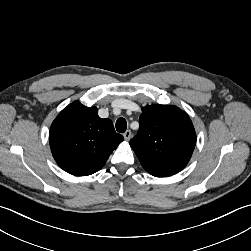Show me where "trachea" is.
Returning a JSON list of instances; mask_svg holds the SVG:
<instances>
[{
    "instance_id": "obj_1",
    "label": "trachea",
    "mask_w": 251,
    "mask_h": 251,
    "mask_svg": "<svg viewBox=\"0 0 251 251\" xmlns=\"http://www.w3.org/2000/svg\"><path fill=\"white\" fill-rule=\"evenodd\" d=\"M127 128V122L124 118H119L116 121V130L120 133H124Z\"/></svg>"
}]
</instances>
